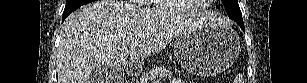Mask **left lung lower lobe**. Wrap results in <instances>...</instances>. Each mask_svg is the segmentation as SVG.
I'll return each instance as SVG.
<instances>
[{
  "mask_svg": "<svg viewBox=\"0 0 307 83\" xmlns=\"http://www.w3.org/2000/svg\"><path fill=\"white\" fill-rule=\"evenodd\" d=\"M238 25L243 29V31H245V28H244V23L242 24H240V23H238Z\"/></svg>",
  "mask_w": 307,
  "mask_h": 83,
  "instance_id": "left-lung-lower-lobe-1",
  "label": "left lung lower lobe"
}]
</instances>
